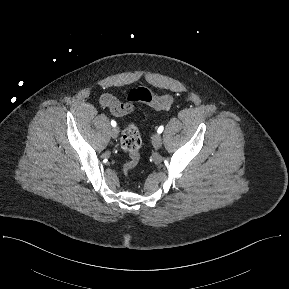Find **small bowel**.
I'll list each match as a JSON object with an SVG mask.
<instances>
[{"label":"small bowel","mask_w":289,"mask_h":289,"mask_svg":"<svg viewBox=\"0 0 289 289\" xmlns=\"http://www.w3.org/2000/svg\"><path fill=\"white\" fill-rule=\"evenodd\" d=\"M99 103L103 108L109 109L116 117L125 116L134 112L135 110L133 102H121L119 99L109 93L103 94L99 99Z\"/></svg>","instance_id":"c3829d8e"}]
</instances>
